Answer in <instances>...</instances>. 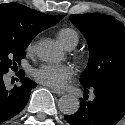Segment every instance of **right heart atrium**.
I'll return each instance as SVG.
<instances>
[{"instance_id":"d8ad5b80","label":"right heart atrium","mask_w":125,"mask_h":125,"mask_svg":"<svg viewBox=\"0 0 125 125\" xmlns=\"http://www.w3.org/2000/svg\"><path fill=\"white\" fill-rule=\"evenodd\" d=\"M34 49H35V42L34 41L29 42V44L26 47V52L30 54L34 51Z\"/></svg>"}]
</instances>
